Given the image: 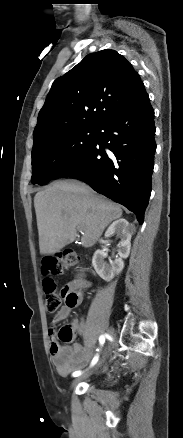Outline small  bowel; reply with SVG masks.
I'll return each instance as SVG.
<instances>
[{"label":"small bowel","instance_id":"obj_1","mask_svg":"<svg viewBox=\"0 0 183 438\" xmlns=\"http://www.w3.org/2000/svg\"><path fill=\"white\" fill-rule=\"evenodd\" d=\"M89 284L86 281L79 280L69 286L79 295V301L75 305L66 304L57 312L53 322H61L69 316L71 308L77 307L82 300L81 291L87 288ZM74 333L77 332L83 335L85 332L84 319H75L71 323ZM49 350L54 367L60 376H67L72 371L83 367L89 360L91 353L87 351L81 344L73 343L72 345L60 344L53 330L49 331Z\"/></svg>","mask_w":183,"mask_h":438}]
</instances>
